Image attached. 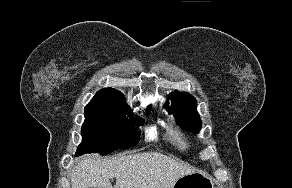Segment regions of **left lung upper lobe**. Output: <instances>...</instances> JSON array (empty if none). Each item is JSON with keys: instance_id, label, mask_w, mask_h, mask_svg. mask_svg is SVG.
<instances>
[{"instance_id": "1", "label": "left lung upper lobe", "mask_w": 292, "mask_h": 188, "mask_svg": "<svg viewBox=\"0 0 292 188\" xmlns=\"http://www.w3.org/2000/svg\"><path fill=\"white\" fill-rule=\"evenodd\" d=\"M170 99L173 100L175 106L169 109L178 123L184 128L198 133L201 129V120L196 111V100L188 93L174 92L171 94Z\"/></svg>"}]
</instances>
